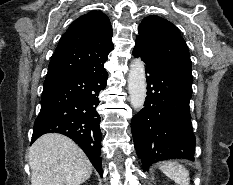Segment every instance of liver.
<instances>
[{"mask_svg":"<svg viewBox=\"0 0 233 185\" xmlns=\"http://www.w3.org/2000/svg\"><path fill=\"white\" fill-rule=\"evenodd\" d=\"M32 185H80L92 174V165L70 138L44 134L28 150Z\"/></svg>","mask_w":233,"mask_h":185,"instance_id":"liver-1","label":"liver"}]
</instances>
